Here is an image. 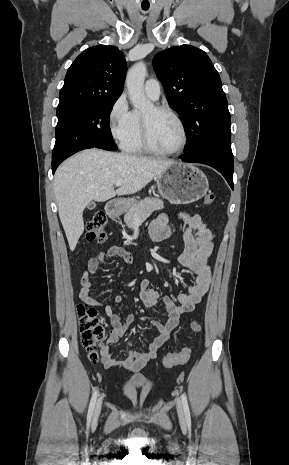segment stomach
<instances>
[{"instance_id": "obj_1", "label": "stomach", "mask_w": 289, "mask_h": 465, "mask_svg": "<svg viewBox=\"0 0 289 465\" xmlns=\"http://www.w3.org/2000/svg\"><path fill=\"white\" fill-rule=\"evenodd\" d=\"M158 192L168 201L189 204L206 195L209 183L205 174L190 164L174 163L156 177ZM136 204L135 199L118 200L113 212H120Z\"/></svg>"}]
</instances>
